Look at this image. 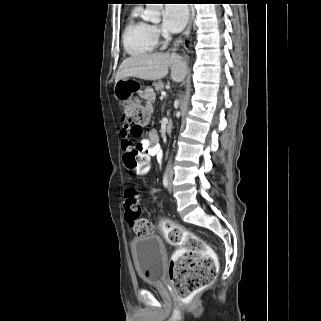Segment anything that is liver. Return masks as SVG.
Here are the masks:
<instances>
[{"label": "liver", "instance_id": "liver-1", "mask_svg": "<svg viewBox=\"0 0 321 321\" xmlns=\"http://www.w3.org/2000/svg\"><path fill=\"white\" fill-rule=\"evenodd\" d=\"M171 69V79L182 82L187 74V63L175 52L151 53L125 59L116 74L115 81L128 77L155 81L164 78Z\"/></svg>", "mask_w": 321, "mask_h": 321}]
</instances>
